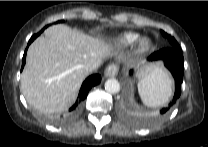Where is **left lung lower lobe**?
I'll use <instances>...</instances> for the list:
<instances>
[{
	"label": "left lung lower lobe",
	"mask_w": 208,
	"mask_h": 147,
	"mask_svg": "<svg viewBox=\"0 0 208 147\" xmlns=\"http://www.w3.org/2000/svg\"><path fill=\"white\" fill-rule=\"evenodd\" d=\"M149 60H163L165 66L169 69L175 79V94L173 100L170 102L168 107L161 110V113H165L175 103L181 94L180 86L183 81L184 72V58L182 51L173 47L164 48L154 52L149 57Z\"/></svg>",
	"instance_id": "obj_1"
}]
</instances>
